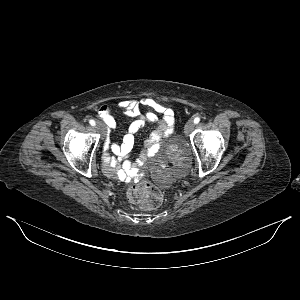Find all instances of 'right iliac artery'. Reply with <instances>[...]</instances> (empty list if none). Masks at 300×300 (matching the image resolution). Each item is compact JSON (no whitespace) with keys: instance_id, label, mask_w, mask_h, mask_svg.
Instances as JSON below:
<instances>
[{"instance_id":"82829eb1","label":"right iliac artery","mask_w":300,"mask_h":300,"mask_svg":"<svg viewBox=\"0 0 300 300\" xmlns=\"http://www.w3.org/2000/svg\"><path fill=\"white\" fill-rule=\"evenodd\" d=\"M89 123H90L92 126H95V125H96L95 121L92 120V119L89 120Z\"/></svg>"}]
</instances>
